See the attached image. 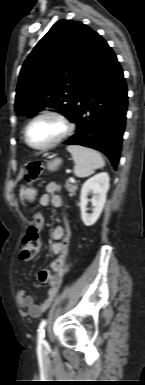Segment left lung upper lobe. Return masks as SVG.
<instances>
[{
  "instance_id": "1",
  "label": "left lung upper lobe",
  "mask_w": 145,
  "mask_h": 385,
  "mask_svg": "<svg viewBox=\"0 0 145 385\" xmlns=\"http://www.w3.org/2000/svg\"><path fill=\"white\" fill-rule=\"evenodd\" d=\"M96 34L81 22H56L22 66L15 112L32 117L45 107H53L62 109L71 120Z\"/></svg>"
}]
</instances>
